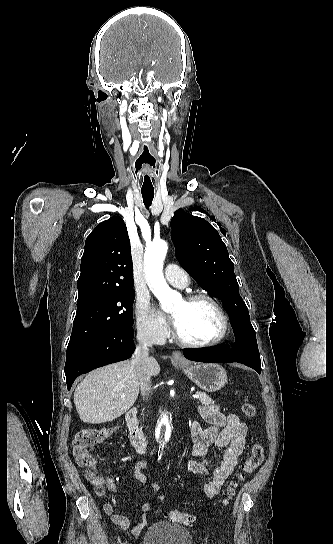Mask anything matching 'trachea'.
<instances>
[{
	"mask_svg": "<svg viewBox=\"0 0 333 544\" xmlns=\"http://www.w3.org/2000/svg\"><path fill=\"white\" fill-rule=\"evenodd\" d=\"M141 193L143 197V202L148 209L151 206L152 200L154 198V190H141Z\"/></svg>",
	"mask_w": 333,
	"mask_h": 544,
	"instance_id": "obj_1",
	"label": "trachea"
}]
</instances>
